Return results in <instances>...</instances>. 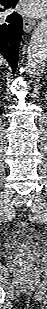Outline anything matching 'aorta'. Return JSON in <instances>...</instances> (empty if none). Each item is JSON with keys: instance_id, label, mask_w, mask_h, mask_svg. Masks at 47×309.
<instances>
[{"instance_id": "762f6f07", "label": "aorta", "mask_w": 47, "mask_h": 309, "mask_svg": "<svg viewBox=\"0 0 47 309\" xmlns=\"http://www.w3.org/2000/svg\"><path fill=\"white\" fill-rule=\"evenodd\" d=\"M47 57V24L39 23L32 34L26 59L28 73L38 75Z\"/></svg>"}]
</instances>
